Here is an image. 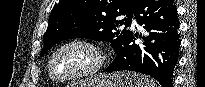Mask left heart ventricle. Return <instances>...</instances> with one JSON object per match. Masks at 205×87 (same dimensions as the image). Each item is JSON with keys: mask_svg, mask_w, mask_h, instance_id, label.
<instances>
[{"mask_svg": "<svg viewBox=\"0 0 205 87\" xmlns=\"http://www.w3.org/2000/svg\"><path fill=\"white\" fill-rule=\"evenodd\" d=\"M93 63L92 53L80 46L63 49L55 58L53 71L56 76L72 75L88 68Z\"/></svg>", "mask_w": 205, "mask_h": 87, "instance_id": "obj_1", "label": "left heart ventricle"}]
</instances>
